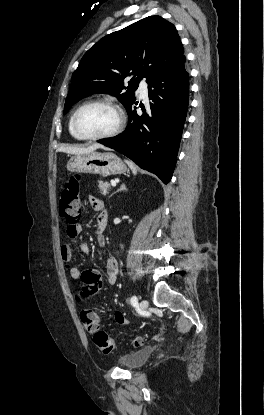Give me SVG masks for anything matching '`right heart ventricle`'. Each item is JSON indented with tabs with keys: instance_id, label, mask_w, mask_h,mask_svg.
Masks as SVG:
<instances>
[{
	"instance_id": "right-heart-ventricle-1",
	"label": "right heart ventricle",
	"mask_w": 264,
	"mask_h": 415,
	"mask_svg": "<svg viewBox=\"0 0 264 415\" xmlns=\"http://www.w3.org/2000/svg\"><path fill=\"white\" fill-rule=\"evenodd\" d=\"M72 117H73V114L70 116V118H69V122H68V130H69V132H70V134L75 138V139H77V140H83L82 138H80L79 136H77L76 134H75V132H74V130H73V127H72Z\"/></svg>"
}]
</instances>
